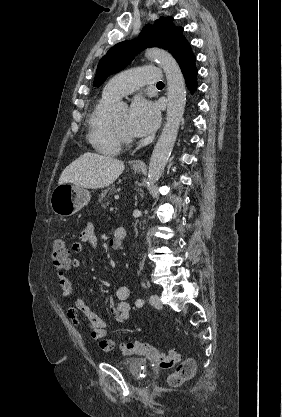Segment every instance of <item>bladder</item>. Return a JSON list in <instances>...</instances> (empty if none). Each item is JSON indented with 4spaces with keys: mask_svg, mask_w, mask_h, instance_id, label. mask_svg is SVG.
Instances as JSON below:
<instances>
[{
    "mask_svg": "<svg viewBox=\"0 0 282 417\" xmlns=\"http://www.w3.org/2000/svg\"><path fill=\"white\" fill-rule=\"evenodd\" d=\"M121 366L134 379L145 377L149 371L147 363L142 359H128Z\"/></svg>",
    "mask_w": 282,
    "mask_h": 417,
    "instance_id": "31cf9c89",
    "label": "bladder"
}]
</instances>
